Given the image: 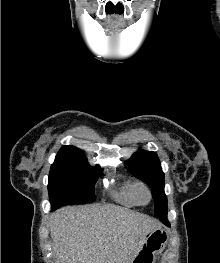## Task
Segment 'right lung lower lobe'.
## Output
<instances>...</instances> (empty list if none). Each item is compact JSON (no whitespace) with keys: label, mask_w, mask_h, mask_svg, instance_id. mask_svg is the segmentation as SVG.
Segmentation results:
<instances>
[{"label":"right lung lower lobe","mask_w":220,"mask_h":263,"mask_svg":"<svg viewBox=\"0 0 220 263\" xmlns=\"http://www.w3.org/2000/svg\"><path fill=\"white\" fill-rule=\"evenodd\" d=\"M52 210H55V208H54V207H52Z\"/></svg>","instance_id":"98d812e1"}]
</instances>
